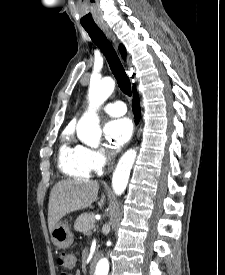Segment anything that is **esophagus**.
Returning <instances> with one entry per match:
<instances>
[{
  "instance_id": "obj_1",
  "label": "esophagus",
  "mask_w": 225,
  "mask_h": 275,
  "mask_svg": "<svg viewBox=\"0 0 225 275\" xmlns=\"http://www.w3.org/2000/svg\"><path fill=\"white\" fill-rule=\"evenodd\" d=\"M101 30L105 33V35L115 44L117 45V41H116V37L113 34V32L111 31V29H109L108 26L106 25H101L100 26Z\"/></svg>"
}]
</instances>
